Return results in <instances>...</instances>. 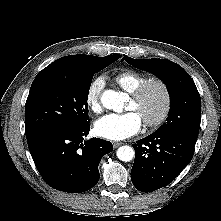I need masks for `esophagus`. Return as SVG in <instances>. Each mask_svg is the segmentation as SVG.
Here are the masks:
<instances>
[{"instance_id": "1", "label": "esophagus", "mask_w": 221, "mask_h": 221, "mask_svg": "<svg viewBox=\"0 0 221 221\" xmlns=\"http://www.w3.org/2000/svg\"><path fill=\"white\" fill-rule=\"evenodd\" d=\"M123 143L122 142H113V147L117 148L119 146H121Z\"/></svg>"}]
</instances>
